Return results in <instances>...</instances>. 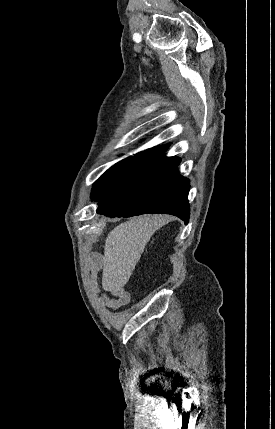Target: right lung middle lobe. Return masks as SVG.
Instances as JSON below:
<instances>
[{
	"instance_id": "obj_1",
	"label": "right lung middle lobe",
	"mask_w": 275,
	"mask_h": 429,
	"mask_svg": "<svg viewBox=\"0 0 275 429\" xmlns=\"http://www.w3.org/2000/svg\"><path fill=\"white\" fill-rule=\"evenodd\" d=\"M151 161L145 157H128L108 169L93 185L91 199L101 201L133 179L141 167Z\"/></svg>"
}]
</instances>
